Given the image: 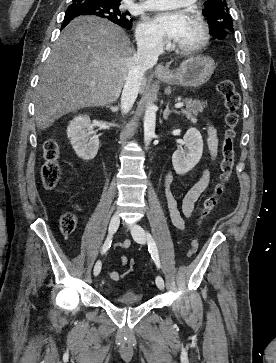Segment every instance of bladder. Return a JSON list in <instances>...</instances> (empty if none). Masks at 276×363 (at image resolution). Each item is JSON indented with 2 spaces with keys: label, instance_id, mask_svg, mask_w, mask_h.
<instances>
[{
  "label": "bladder",
  "instance_id": "bladder-1",
  "mask_svg": "<svg viewBox=\"0 0 276 363\" xmlns=\"http://www.w3.org/2000/svg\"><path fill=\"white\" fill-rule=\"evenodd\" d=\"M115 302L122 305H136L143 302V297L131 291H124L116 297Z\"/></svg>",
  "mask_w": 276,
  "mask_h": 363
}]
</instances>
